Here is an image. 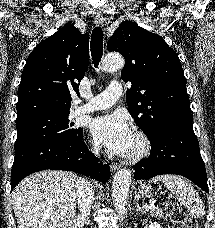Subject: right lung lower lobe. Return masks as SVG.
<instances>
[{
    "instance_id": "obj_1",
    "label": "right lung lower lobe",
    "mask_w": 215,
    "mask_h": 228,
    "mask_svg": "<svg viewBox=\"0 0 215 228\" xmlns=\"http://www.w3.org/2000/svg\"><path fill=\"white\" fill-rule=\"evenodd\" d=\"M98 161L83 138L78 141L51 138L28 143L15 149L11 191L24 177L45 169L73 171L106 183L110 168Z\"/></svg>"
}]
</instances>
